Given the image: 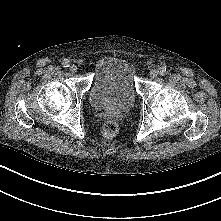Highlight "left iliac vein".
Segmentation results:
<instances>
[{
  "label": "left iliac vein",
  "instance_id": "left-iliac-vein-1",
  "mask_svg": "<svg viewBox=\"0 0 221 221\" xmlns=\"http://www.w3.org/2000/svg\"><path fill=\"white\" fill-rule=\"evenodd\" d=\"M149 75H150L151 78H156L158 76V71L156 69H152L149 72Z\"/></svg>",
  "mask_w": 221,
  "mask_h": 221
}]
</instances>
